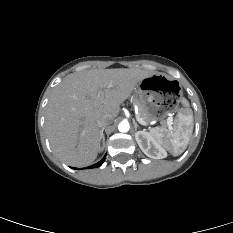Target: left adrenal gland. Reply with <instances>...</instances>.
Wrapping results in <instances>:
<instances>
[{
	"label": "left adrenal gland",
	"mask_w": 233,
	"mask_h": 233,
	"mask_svg": "<svg viewBox=\"0 0 233 233\" xmlns=\"http://www.w3.org/2000/svg\"><path fill=\"white\" fill-rule=\"evenodd\" d=\"M133 124H134L135 130H137L138 124H137V122L135 120H133Z\"/></svg>",
	"instance_id": "a2214340"
}]
</instances>
